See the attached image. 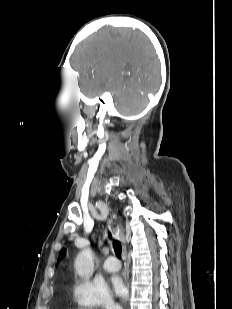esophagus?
<instances>
[{
    "instance_id": "1",
    "label": "esophagus",
    "mask_w": 232,
    "mask_h": 309,
    "mask_svg": "<svg viewBox=\"0 0 232 309\" xmlns=\"http://www.w3.org/2000/svg\"><path fill=\"white\" fill-rule=\"evenodd\" d=\"M115 233L118 237L122 235L121 230L119 228L116 229ZM126 256H127L126 246L123 245V257L126 259Z\"/></svg>"
}]
</instances>
